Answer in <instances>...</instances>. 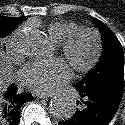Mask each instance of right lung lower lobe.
Returning <instances> with one entry per match:
<instances>
[{
    "mask_svg": "<svg viewBox=\"0 0 125 125\" xmlns=\"http://www.w3.org/2000/svg\"><path fill=\"white\" fill-rule=\"evenodd\" d=\"M4 104L0 106V125H18L20 121L19 109L23 103L32 100L28 92L19 94L15 85H10L4 93Z\"/></svg>",
    "mask_w": 125,
    "mask_h": 125,
    "instance_id": "right-lung-lower-lobe-1",
    "label": "right lung lower lobe"
}]
</instances>
